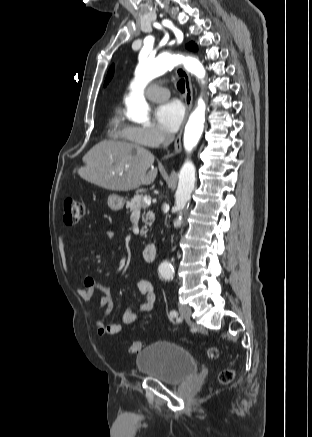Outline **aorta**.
<instances>
[{
  "label": "aorta",
  "mask_w": 312,
  "mask_h": 437,
  "mask_svg": "<svg viewBox=\"0 0 312 437\" xmlns=\"http://www.w3.org/2000/svg\"><path fill=\"white\" fill-rule=\"evenodd\" d=\"M180 63H183L186 70L197 78H204L205 69L203 65L192 57L185 58L163 53L155 59H141L139 61L135 71L134 82L131 84V92L126 99V114L129 119L137 123H148L149 106L143 94L144 88L152 79L164 74ZM205 108L204 101L199 99L197 108L191 113L186 124L183 145L188 153L192 151L201 138L205 121ZM195 179V166L191 161L187 160L180 170L179 183L175 193V210L179 213V216L174 221V227H180L182 224V210L191 198ZM158 270L163 276L173 273V267L168 261L162 262Z\"/></svg>",
  "instance_id": "1"
}]
</instances>
